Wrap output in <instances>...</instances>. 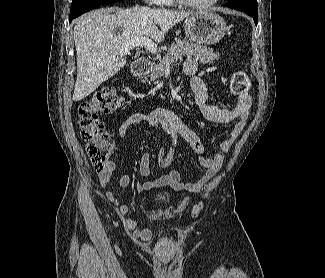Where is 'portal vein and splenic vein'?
Masks as SVG:
<instances>
[{"label": "portal vein and splenic vein", "instance_id": "obj_1", "mask_svg": "<svg viewBox=\"0 0 325 278\" xmlns=\"http://www.w3.org/2000/svg\"><path fill=\"white\" fill-rule=\"evenodd\" d=\"M134 47H143V48L147 49L149 52H151L152 54L158 53L157 45L151 39L146 38V37L131 39L130 41L123 44V46H122V48L125 51H129L130 49H132ZM168 68H169V65H168Z\"/></svg>", "mask_w": 325, "mask_h": 278}]
</instances>
